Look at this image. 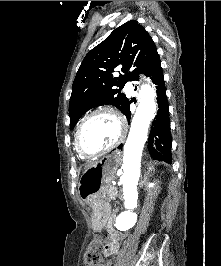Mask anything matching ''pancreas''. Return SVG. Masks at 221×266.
Here are the masks:
<instances>
[{
    "mask_svg": "<svg viewBox=\"0 0 221 266\" xmlns=\"http://www.w3.org/2000/svg\"><path fill=\"white\" fill-rule=\"evenodd\" d=\"M117 196H118L117 188L110 185L108 190H107V198L109 200H116Z\"/></svg>",
    "mask_w": 221,
    "mask_h": 266,
    "instance_id": "1",
    "label": "pancreas"
}]
</instances>
